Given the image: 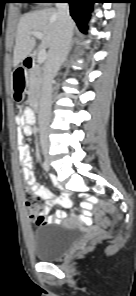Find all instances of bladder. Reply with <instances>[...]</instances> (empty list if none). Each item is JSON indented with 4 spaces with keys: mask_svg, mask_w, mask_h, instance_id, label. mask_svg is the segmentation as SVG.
Returning <instances> with one entry per match:
<instances>
[{
    "mask_svg": "<svg viewBox=\"0 0 136 296\" xmlns=\"http://www.w3.org/2000/svg\"><path fill=\"white\" fill-rule=\"evenodd\" d=\"M80 240L78 229L64 225H42L31 235L33 253L39 261H56Z\"/></svg>",
    "mask_w": 136,
    "mask_h": 296,
    "instance_id": "1",
    "label": "bladder"
}]
</instances>
